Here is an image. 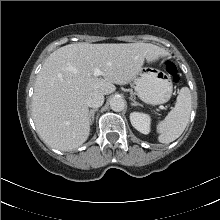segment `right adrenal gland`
<instances>
[{"label": "right adrenal gland", "mask_w": 220, "mask_h": 220, "mask_svg": "<svg viewBox=\"0 0 220 220\" xmlns=\"http://www.w3.org/2000/svg\"><path fill=\"white\" fill-rule=\"evenodd\" d=\"M97 110H98L97 108H94L89 111L88 117H89L90 123L94 122V114Z\"/></svg>", "instance_id": "obj_1"}]
</instances>
